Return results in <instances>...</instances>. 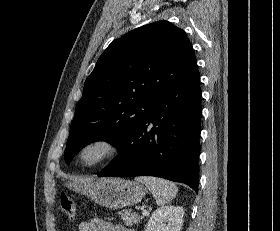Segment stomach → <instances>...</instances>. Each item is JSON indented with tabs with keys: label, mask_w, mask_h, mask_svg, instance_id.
<instances>
[{
	"label": "stomach",
	"mask_w": 280,
	"mask_h": 231,
	"mask_svg": "<svg viewBox=\"0 0 280 231\" xmlns=\"http://www.w3.org/2000/svg\"><path fill=\"white\" fill-rule=\"evenodd\" d=\"M65 187L83 193L91 197L93 201L110 207L120 209L125 205L139 203L145 195V187L137 181L130 179H86V177H75L72 181H64Z\"/></svg>",
	"instance_id": "1"
}]
</instances>
